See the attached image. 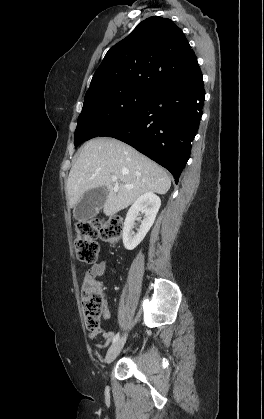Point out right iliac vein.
<instances>
[{
    "label": "right iliac vein",
    "mask_w": 264,
    "mask_h": 419,
    "mask_svg": "<svg viewBox=\"0 0 264 419\" xmlns=\"http://www.w3.org/2000/svg\"><path fill=\"white\" fill-rule=\"evenodd\" d=\"M125 341H126V335L123 336L118 341H116L111 346V348L108 350V352L106 354V358H105V361H106L107 364H110L115 360V358L118 356L121 349L123 348Z\"/></svg>",
    "instance_id": "right-iliac-vein-1"
}]
</instances>
